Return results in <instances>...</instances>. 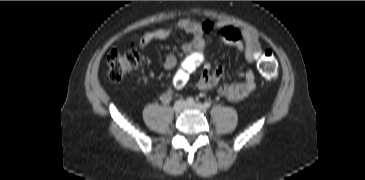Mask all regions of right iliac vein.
Segmentation results:
<instances>
[{"instance_id":"63e3f726","label":"right iliac vein","mask_w":365,"mask_h":180,"mask_svg":"<svg viewBox=\"0 0 365 180\" xmlns=\"http://www.w3.org/2000/svg\"><path fill=\"white\" fill-rule=\"evenodd\" d=\"M187 104L184 100H178L175 104H174V111L176 113H180L182 112L185 108H186Z\"/></svg>"}]
</instances>
